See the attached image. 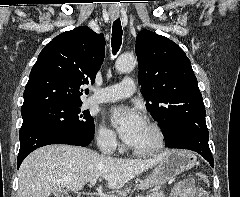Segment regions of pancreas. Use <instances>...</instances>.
<instances>
[{
    "instance_id": "cf45deb5",
    "label": "pancreas",
    "mask_w": 240,
    "mask_h": 197,
    "mask_svg": "<svg viewBox=\"0 0 240 197\" xmlns=\"http://www.w3.org/2000/svg\"><path fill=\"white\" fill-rule=\"evenodd\" d=\"M145 197H165L163 192H159L158 190H153L150 194L146 195Z\"/></svg>"
}]
</instances>
